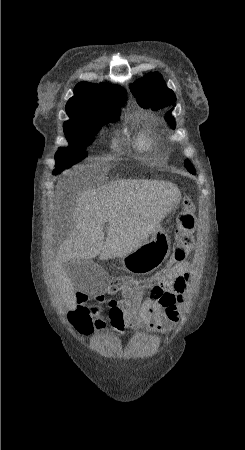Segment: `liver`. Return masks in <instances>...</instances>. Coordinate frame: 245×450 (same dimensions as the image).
Instances as JSON below:
<instances>
[{"instance_id": "liver-1", "label": "liver", "mask_w": 245, "mask_h": 450, "mask_svg": "<svg viewBox=\"0 0 245 450\" xmlns=\"http://www.w3.org/2000/svg\"><path fill=\"white\" fill-rule=\"evenodd\" d=\"M180 198L175 184L148 179H117L80 191L72 215L74 230L53 262L56 284L67 307L76 309L74 286L67 271L69 263L129 254L155 232ZM105 223H108L106 239Z\"/></svg>"}]
</instances>
